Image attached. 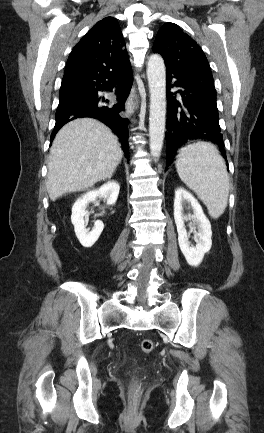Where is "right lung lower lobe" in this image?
Wrapping results in <instances>:
<instances>
[{
	"label": "right lung lower lobe",
	"instance_id": "98d812e1",
	"mask_svg": "<svg viewBox=\"0 0 264 433\" xmlns=\"http://www.w3.org/2000/svg\"><path fill=\"white\" fill-rule=\"evenodd\" d=\"M132 87L131 65L110 69L102 67L90 71H77L63 76L59 92V105L55 114L56 124L51 141L67 122L91 117L110 127L120 138L128 157V118L122 116L124 102ZM100 92H114L112 103Z\"/></svg>",
	"mask_w": 264,
	"mask_h": 433
}]
</instances>
